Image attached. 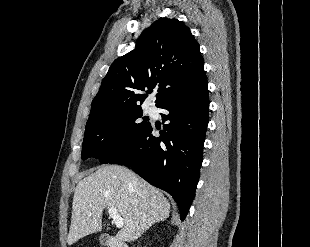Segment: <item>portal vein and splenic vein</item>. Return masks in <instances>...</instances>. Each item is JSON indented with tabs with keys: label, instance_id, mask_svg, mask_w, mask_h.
Listing matches in <instances>:
<instances>
[{
	"label": "portal vein and splenic vein",
	"instance_id": "portal-vein-and-splenic-vein-1",
	"mask_svg": "<svg viewBox=\"0 0 310 247\" xmlns=\"http://www.w3.org/2000/svg\"><path fill=\"white\" fill-rule=\"evenodd\" d=\"M108 213L117 228H122L124 226L123 218L120 216L116 208H109Z\"/></svg>",
	"mask_w": 310,
	"mask_h": 247
}]
</instances>
